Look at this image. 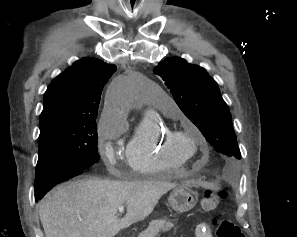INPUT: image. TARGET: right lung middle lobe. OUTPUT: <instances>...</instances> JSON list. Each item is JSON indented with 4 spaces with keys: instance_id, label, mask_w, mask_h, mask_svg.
<instances>
[{
    "instance_id": "1",
    "label": "right lung middle lobe",
    "mask_w": 297,
    "mask_h": 237,
    "mask_svg": "<svg viewBox=\"0 0 297 237\" xmlns=\"http://www.w3.org/2000/svg\"><path fill=\"white\" fill-rule=\"evenodd\" d=\"M35 188L51 186L58 174L83 173L100 158L96 118H58L40 124Z\"/></svg>"
}]
</instances>
